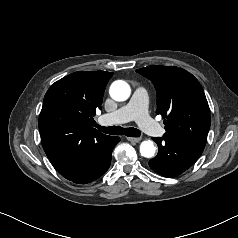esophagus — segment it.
Here are the masks:
<instances>
[{"label": "esophagus", "mask_w": 238, "mask_h": 238, "mask_svg": "<svg viewBox=\"0 0 238 238\" xmlns=\"http://www.w3.org/2000/svg\"><path fill=\"white\" fill-rule=\"evenodd\" d=\"M127 140L130 141V142L138 143L142 140V138H140V137H127Z\"/></svg>", "instance_id": "1"}]
</instances>
